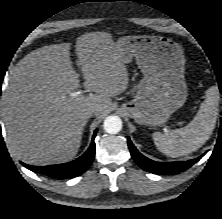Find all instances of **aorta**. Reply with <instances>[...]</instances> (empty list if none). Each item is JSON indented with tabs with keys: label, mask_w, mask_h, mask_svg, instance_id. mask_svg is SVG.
<instances>
[{
	"label": "aorta",
	"mask_w": 222,
	"mask_h": 219,
	"mask_svg": "<svg viewBox=\"0 0 222 219\" xmlns=\"http://www.w3.org/2000/svg\"><path fill=\"white\" fill-rule=\"evenodd\" d=\"M104 130L109 134H117L122 129V120L115 115L108 116L104 120Z\"/></svg>",
	"instance_id": "aorta-1"
}]
</instances>
